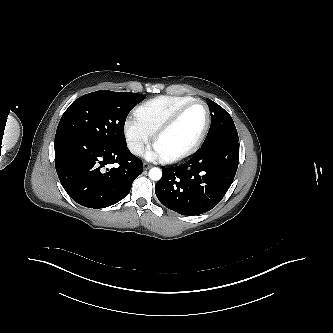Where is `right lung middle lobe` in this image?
<instances>
[{"instance_id":"dd1d6c3e","label":"right lung middle lobe","mask_w":333,"mask_h":333,"mask_svg":"<svg viewBox=\"0 0 333 333\" xmlns=\"http://www.w3.org/2000/svg\"><path fill=\"white\" fill-rule=\"evenodd\" d=\"M144 98L142 94L109 90L85 94L64 112L55 137L71 135L106 145H126V117Z\"/></svg>"}]
</instances>
